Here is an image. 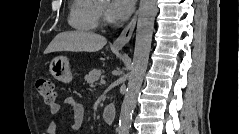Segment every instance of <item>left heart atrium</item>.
<instances>
[{"instance_id": "left-heart-atrium-1", "label": "left heart atrium", "mask_w": 239, "mask_h": 134, "mask_svg": "<svg viewBox=\"0 0 239 134\" xmlns=\"http://www.w3.org/2000/svg\"><path fill=\"white\" fill-rule=\"evenodd\" d=\"M133 0H112L106 9V16L112 22L126 20L133 11Z\"/></svg>"}]
</instances>
